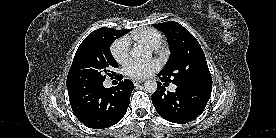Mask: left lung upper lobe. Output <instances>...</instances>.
<instances>
[{
  "label": "left lung upper lobe",
  "mask_w": 276,
  "mask_h": 138,
  "mask_svg": "<svg viewBox=\"0 0 276 138\" xmlns=\"http://www.w3.org/2000/svg\"><path fill=\"white\" fill-rule=\"evenodd\" d=\"M153 26L165 33L171 51L167 64L159 72L164 80L175 85L212 87L207 61L196 38L174 21Z\"/></svg>",
  "instance_id": "1"
}]
</instances>
